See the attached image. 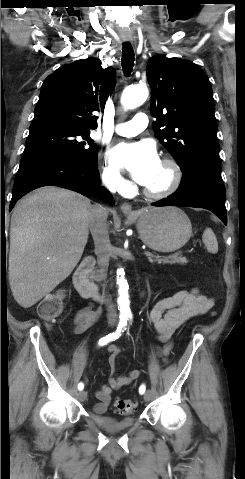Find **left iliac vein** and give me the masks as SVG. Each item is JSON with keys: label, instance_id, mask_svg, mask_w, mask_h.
<instances>
[{"label": "left iliac vein", "instance_id": "1", "mask_svg": "<svg viewBox=\"0 0 245 479\" xmlns=\"http://www.w3.org/2000/svg\"><path fill=\"white\" fill-rule=\"evenodd\" d=\"M150 396H151V393L149 391H147L145 394H144V400L145 401H149L150 400Z\"/></svg>", "mask_w": 245, "mask_h": 479}]
</instances>
